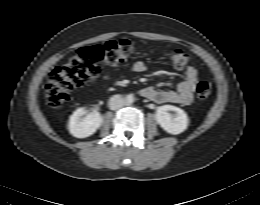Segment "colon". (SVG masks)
<instances>
[{"label": "colon", "instance_id": "1", "mask_svg": "<svg viewBox=\"0 0 260 205\" xmlns=\"http://www.w3.org/2000/svg\"><path fill=\"white\" fill-rule=\"evenodd\" d=\"M135 50L136 46L132 42L123 39L79 49L68 62L57 66L50 73L45 86L48 104L59 106L69 101L74 89L99 76L102 64H125ZM170 57L177 68L183 67L189 61V54L181 48L171 49ZM195 91L199 99H206L211 93V85L207 81H199Z\"/></svg>", "mask_w": 260, "mask_h": 205}]
</instances>
